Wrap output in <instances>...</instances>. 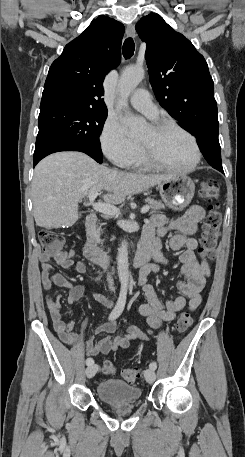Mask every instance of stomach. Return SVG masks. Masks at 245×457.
<instances>
[{
    "mask_svg": "<svg viewBox=\"0 0 245 457\" xmlns=\"http://www.w3.org/2000/svg\"><path fill=\"white\" fill-rule=\"evenodd\" d=\"M160 194L171 208L182 210L194 196L195 182L189 176H171L159 184Z\"/></svg>",
    "mask_w": 245,
    "mask_h": 457,
    "instance_id": "1",
    "label": "stomach"
}]
</instances>
